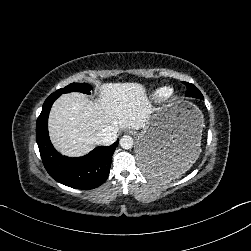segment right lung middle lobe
Listing matches in <instances>:
<instances>
[{
	"label": "right lung middle lobe",
	"instance_id": "1",
	"mask_svg": "<svg viewBox=\"0 0 251 251\" xmlns=\"http://www.w3.org/2000/svg\"><path fill=\"white\" fill-rule=\"evenodd\" d=\"M91 90H92V87L90 85H88L87 83H71L68 86H66L65 88H62V89L55 91L53 94L60 96L61 94L69 93V92H73V91L82 92L85 94H90Z\"/></svg>",
	"mask_w": 251,
	"mask_h": 251
}]
</instances>
